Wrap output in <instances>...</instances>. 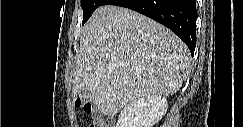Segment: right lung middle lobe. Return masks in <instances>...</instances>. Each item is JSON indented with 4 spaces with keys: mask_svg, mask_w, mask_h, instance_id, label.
I'll use <instances>...</instances> for the list:
<instances>
[{
    "mask_svg": "<svg viewBox=\"0 0 243 127\" xmlns=\"http://www.w3.org/2000/svg\"><path fill=\"white\" fill-rule=\"evenodd\" d=\"M104 2L105 0H81L84 14L82 25L91 17L92 13Z\"/></svg>",
    "mask_w": 243,
    "mask_h": 127,
    "instance_id": "1",
    "label": "right lung middle lobe"
}]
</instances>
